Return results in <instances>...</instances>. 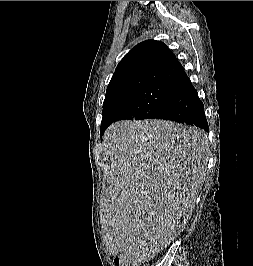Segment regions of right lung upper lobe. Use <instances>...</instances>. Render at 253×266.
<instances>
[{"label":"right lung upper lobe","mask_w":253,"mask_h":266,"mask_svg":"<svg viewBox=\"0 0 253 266\" xmlns=\"http://www.w3.org/2000/svg\"><path fill=\"white\" fill-rule=\"evenodd\" d=\"M186 76L175 55L160 41L147 40L119 62L107 87L104 103L127 92L156 84H172Z\"/></svg>","instance_id":"obj_1"}]
</instances>
